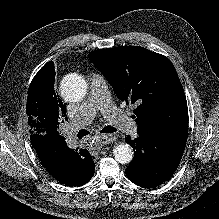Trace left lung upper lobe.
I'll list each match as a JSON object with an SVG mask.
<instances>
[{"label":"left lung upper lobe","instance_id":"obj_1","mask_svg":"<svg viewBox=\"0 0 219 219\" xmlns=\"http://www.w3.org/2000/svg\"><path fill=\"white\" fill-rule=\"evenodd\" d=\"M122 101L135 103L138 134L186 143L188 109L182 84L171 61L140 46H119L89 53Z\"/></svg>","mask_w":219,"mask_h":219}]
</instances>
